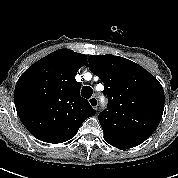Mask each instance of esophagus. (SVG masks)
<instances>
[{"mask_svg": "<svg viewBox=\"0 0 178 178\" xmlns=\"http://www.w3.org/2000/svg\"><path fill=\"white\" fill-rule=\"evenodd\" d=\"M89 104L94 108V109H97L98 107V100L95 96H92L90 99H89Z\"/></svg>", "mask_w": 178, "mask_h": 178, "instance_id": "1", "label": "esophagus"}]
</instances>
